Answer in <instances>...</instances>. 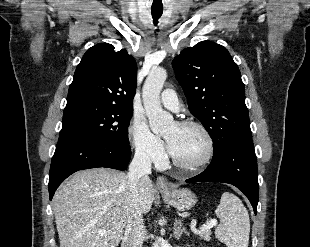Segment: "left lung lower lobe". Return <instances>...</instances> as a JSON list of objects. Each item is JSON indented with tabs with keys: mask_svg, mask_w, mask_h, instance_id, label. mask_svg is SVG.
Here are the masks:
<instances>
[{
	"mask_svg": "<svg viewBox=\"0 0 310 247\" xmlns=\"http://www.w3.org/2000/svg\"><path fill=\"white\" fill-rule=\"evenodd\" d=\"M223 182L240 189L249 199L257 213L258 172L252 139L238 142L218 156H213L210 165L201 174L186 180L194 182Z\"/></svg>",
	"mask_w": 310,
	"mask_h": 247,
	"instance_id": "1",
	"label": "left lung lower lobe"
}]
</instances>
